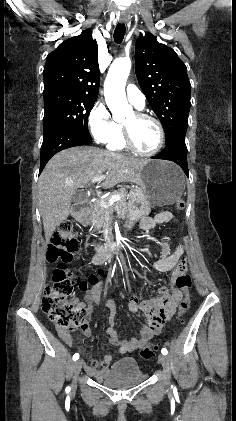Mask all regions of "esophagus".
<instances>
[{"label":"esophagus","mask_w":236,"mask_h":421,"mask_svg":"<svg viewBox=\"0 0 236 421\" xmlns=\"http://www.w3.org/2000/svg\"><path fill=\"white\" fill-rule=\"evenodd\" d=\"M119 21L121 22V23H126L127 22V16H120V18H119Z\"/></svg>","instance_id":"34e87169"}]
</instances>
